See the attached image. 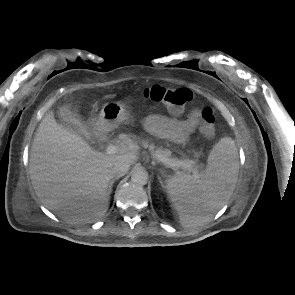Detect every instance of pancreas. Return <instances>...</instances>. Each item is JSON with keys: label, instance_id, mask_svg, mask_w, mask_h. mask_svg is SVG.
Returning a JSON list of instances; mask_svg holds the SVG:
<instances>
[{"label": "pancreas", "instance_id": "obj_1", "mask_svg": "<svg viewBox=\"0 0 295 295\" xmlns=\"http://www.w3.org/2000/svg\"><path fill=\"white\" fill-rule=\"evenodd\" d=\"M143 146L144 147H149V149L154 153L155 155V158L157 160H159V158L157 157V155H161L162 157H166L168 159H172V160H177L176 158H171V151L168 150V149H157V150H154V146L153 145H148L147 142H143ZM184 160H187V159H184ZM184 170H188V171H191L192 169L191 168H184L182 167Z\"/></svg>", "mask_w": 295, "mask_h": 295}]
</instances>
